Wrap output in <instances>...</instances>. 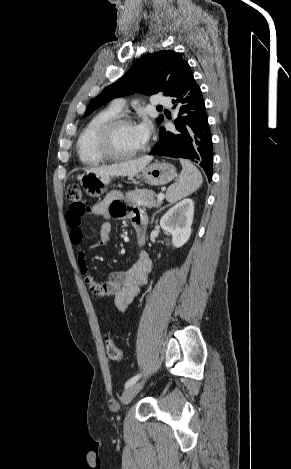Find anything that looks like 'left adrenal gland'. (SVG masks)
<instances>
[{
	"label": "left adrenal gland",
	"instance_id": "left-adrenal-gland-1",
	"mask_svg": "<svg viewBox=\"0 0 291 469\" xmlns=\"http://www.w3.org/2000/svg\"><path fill=\"white\" fill-rule=\"evenodd\" d=\"M166 207H167V205H166V206H163L162 208H160L159 210H157V211L153 214V216H152V221H153V219H154V216H155L157 213H159L161 210H163L164 208H166Z\"/></svg>",
	"mask_w": 291,
	"mask_h": 469
}]
</instances>
